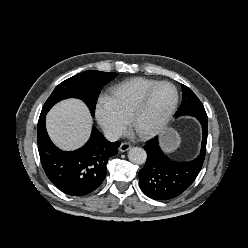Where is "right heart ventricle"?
<instances>
[{"mask_svg":"<svg viewBox=\"0 0 248 248\" xmlns=\"http://www.w3.org/2000/svg\"><path fill=\"white\" fill-rule=\"evenodd\" d=\"M156 82L150 78L134 77L110 87L108 93L120 113L128 119L143 93Z\"/></svg>","mask_w":248,"mask_h":248,"instance_id":"right-heart-ventricle-1","label":"right heart ventricle"}]
</instances>
